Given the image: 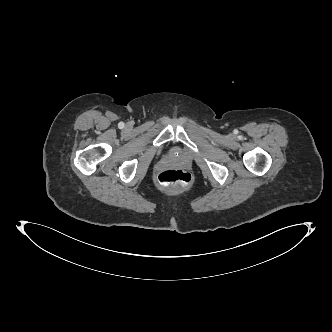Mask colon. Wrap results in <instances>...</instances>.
<instances>
[{
  "mask_svg": "<svg viewBox=\"0 0 332 332\" xmlns=\"http://www.w3.org/2000/svg\"><path fill=\"white\" fill-rule=\"evenodd\" d=\"M157 181L160 185L165 187H178V186H188L191 181V175L183 170L179 169H169L161 172Z\"/></svg>",
  "mask_w": 332,
  "mask_h": 332,
  "instance_id": "1",
  "label": "colon"
}]
</instances>
